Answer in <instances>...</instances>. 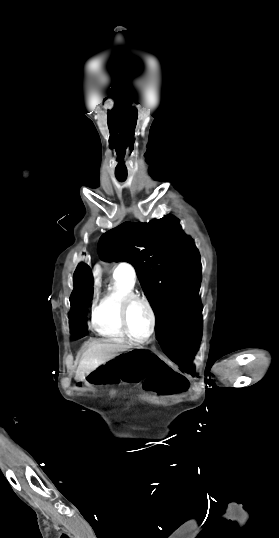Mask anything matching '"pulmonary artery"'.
I'll return each instance as SVG.
<instances>
[{"label":"pulmonary artery","instance_id":"e3ab8cb5","mask_svg":"<svg viewBox=\"0 0 279 538\" xmlns=\"http://www.w3.org/2000/svg\"><path fill=\"white\" fill-rule=\"evenodd\" d=\"M113 275L124 276L127 278V280L131 282H135V279H136L134 268L130 264L125 263V262L117 263L113 267Z\"/></svg>","mask_w":279,"mask_h":538}]
</instances>
